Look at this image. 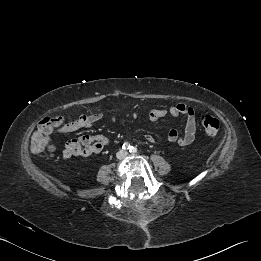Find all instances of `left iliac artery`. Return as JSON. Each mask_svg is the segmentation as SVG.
<instances>
[{
  "mask_svg": "<svg viewBox=\"0 0 261 261\" xmlns=\"http://www.w3.org/2000/svg\"><path fill=\"white\" fill-rule=\"evenodd\" d=\"M130 152H131V153H136V152H137V148L131 146V148H130Z\"/></svg>",
  "mask_w": 261,
  "mask_h": 261,
  "instance_id": "1",
  "label": "left iliac artery"
}]
</instances>
